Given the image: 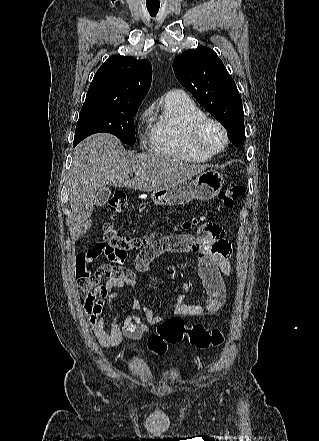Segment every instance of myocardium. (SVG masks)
<instances>
[{
    "mask_svg": "<svg viewBox=\"0 0 319 441\" xmlns=\"http://www.w3.org/2000/svg\"><path fill=\"white\" fill-rule=\"evenodd\" d=\"M211 127L216 128L221 134L222 140L218 147L210 146L205 139L206 131ZM190 139L195 149L212 156L222 152L227 147L229 141L227 130L223 124L217 119L208 116L198 119L193 124Z\"/></svg>",
    "mask_w": 319,
    "mask_h": 441,
    "instance_id": "myocardium-1",
    "label": "myocardium"
}]
</instances>
